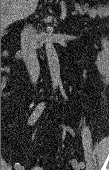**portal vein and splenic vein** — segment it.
<instances>
[{"instance_id":"obj_1","label":"portal vein and splenic vein","mask_w":109,"mask_h":170,"mask_svg":"<svg viewBox=\"0 0 109 170\" xmlns=\"http://www.w3.org/2000/svg\"><path fill=\"white\" fill-rule=\"evenodd\" d=\"M4 12V11H3ZM77 14V12L76 11H73L72 12V15H76ZM61 19H64V15H61Z\"/></svg>"}]
</instances>
